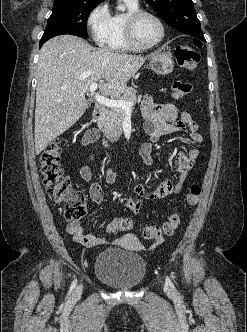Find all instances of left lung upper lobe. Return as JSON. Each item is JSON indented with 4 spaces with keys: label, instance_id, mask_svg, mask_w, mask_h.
Instances as JSON below:
<instances>
[{
    "label": "left lung upper lobe",
    "instance_id": "left-lung-upper-lobe-1",
    "mask_svg": "<svg viewBox=\"0 0 247 332\" xmlns=\"http://www.w3.org/2000/svg\"><path fill=\"white\" fill-rule=\"evenodd\" d=\"M174 29L205 41L192 0H146Z\"/></svg>",
    "mask_w": 247,
    "mask_h": 332
}]
</instances>
